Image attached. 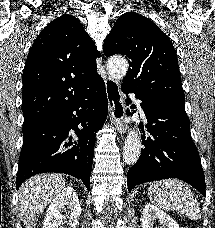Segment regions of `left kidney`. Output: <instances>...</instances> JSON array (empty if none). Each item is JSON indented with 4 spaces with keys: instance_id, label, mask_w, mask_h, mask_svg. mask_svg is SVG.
<instances>
[{
    "instance_id": "5707ae66",
    "label": "left kidney",
    "mask_w": 215,
    "mask_h": 228,
    "mask_svg": "<svg viewBox=\"0 0 215 228\" xmlns=\"http://www.w3.org/2000/svg\"><path fill=\"white\" fill-rule=\"evenodd\" d=\"M157 222H159L161 228L163 226H166V228H180L171 216H168L153 204H146L141 216V228H154V226H157Z\"/></svg>"
}]
</instances>
